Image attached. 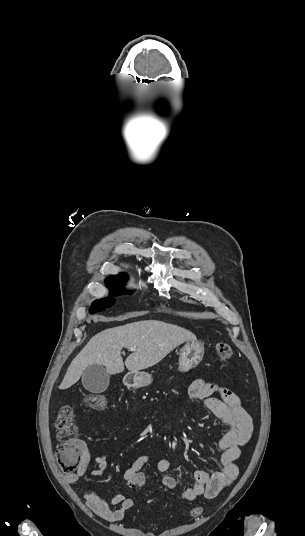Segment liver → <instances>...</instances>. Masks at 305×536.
<instances>
[{"label":"liver","mask_w":305,"mask_h":536,"mask_svg":"<svg viewBox=\"0 0 305 536\" xmlns=\"http://www.w3.org/2000/svg\"><path fill=\"white\" fill-rule=\"evenodd\" d=\"M188 340H196V336L184 328L157 320H143L118 328H109L93 336L80 354L72 360L59 390L71 388L80 380L84 370L92 364L105 366L107 374L124 372L122 348L128 350L136 348L125 360L129 374H135L138 370L155 366L177 346Z\"/></svg>","instance_id":"1"}]
</instances>
